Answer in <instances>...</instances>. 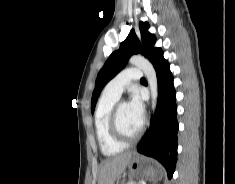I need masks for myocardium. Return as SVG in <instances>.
Returning a JSON list of instances; mask_svg holds the SVG:
<instances>
[{
	"instance_id": "f54148a6",
	"label": "myocardium",
	"mask_w": 235,
	"mask_h": 184,
	"mask_svg": "<svg viewBox=\"0 0 235 184\" xmlns=\"http://www.w3.org/2000/svg\"><path fill=\"white\" fill-rule=\"evenodd\" d=\"M123 104H126V103L122 101L117 102L112 108L110 118H109V127H110L112 135L120 142L125 143V144L135 143L138 140H140L141 137L143 136V133L145 131L146 120L145 119L143 120L140 130L135 136L129 137L125 135L119 124V110Z\"/></svg>"
}]
</instances>
